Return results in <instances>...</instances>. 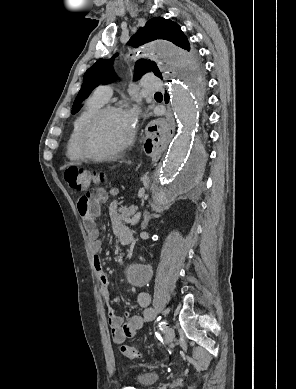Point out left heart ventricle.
I'll list each match as a JSON object with an SVG mask.
<instances>
[{
  "label": "left heart ventricle",
  "instance_id": "left-heart-ventricle-1",
  "mask_svg": "<svg viewBox=\"0 0 296 389\" xmlns=\"http://www.w3.org/2000/svg\"><path fill=\"white\" fill-rule=\"evenodd\" d=\"M132 125L126 113H111L97 124L90 138L94 152L112 150L121 145L131 132Z\"/></svg>",
  "mask_w": 296,
  "mask_h": 389
}]
</instances>
